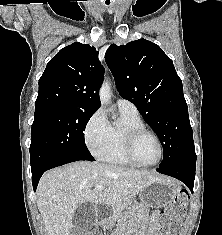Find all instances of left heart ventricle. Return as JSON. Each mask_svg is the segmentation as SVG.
Listing matches in <instances>:
<instances>
[{
  "mask_svg": "<svg viewBox=\"0 0 222 235\" xmlns=\"http://www.w3.org/2000/svg\"><path fill=\"white\" fill-rule=\"evenodd\" d=\"M135 153L140 162L150 164L159 158L160 150L156 140L152 136L145 135L138 141Z\"/></svg>",
  "mask_w": 222,
  "mask_h": 235,
  "instance_id": "obj_1",
  "label": "left heart ventricle"
}]
</instances>
